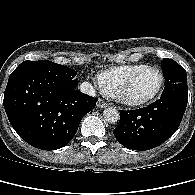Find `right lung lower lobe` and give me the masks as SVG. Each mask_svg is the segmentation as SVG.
Returning a JSON list of instances; mask_svg holds the SVG:
<instances>
[{"instance_id":"obj_1","label":"right lung lower lobe","mask_w":195,"mask_h":195,"mask_svg":"<svg viewBox=\"0 0 195 195\" xmlns=\"http://www.w3.org/2000/svg\"><path fill=\"white\" fill-rule=\"evenodd\" d=\"M44 74L13 71L5 93L4 108L17 134L31 146L55 150L67 145L97 98L75 90Z\"/></svg>"}]
</instances>
